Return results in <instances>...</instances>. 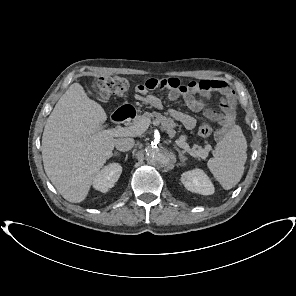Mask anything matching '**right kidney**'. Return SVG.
Instances as JSON below:
<instances>
[{"label":"right kidney","instance_id":"obj_1","mask_svg":"<svg viewBox=\"0 0 296 296\" xmlns=\"http://www.w3.org/2000/svg\"><path fill=\"white\" fill-rule=\"evenodd\" d=\"M122 172L119 163H110L103 167L93 180V187L100 192H107L118 181Z\"/></svg>","mask_w":296,"mask_h":296}]
</instances>
